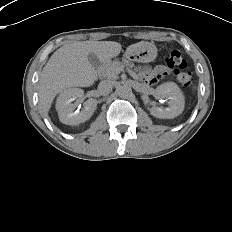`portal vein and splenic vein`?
Masks as SVG:
<instances>
[{"instance_id": "18ae733b", "label": "portal vein and splenic vein", "mask_w": 232, "mask_h": 232, "mask_svg": "<svg viewBox=\"0 0 232 232\" xmlns=\"http://www.w3.org/2000/svg\"><path fill=\"white\" fill-rule=\"evenodd\" d=\"M129 74H130L134 79H137V75H136L133 71L129 72Z\"/></svg>"}]
</instances>
